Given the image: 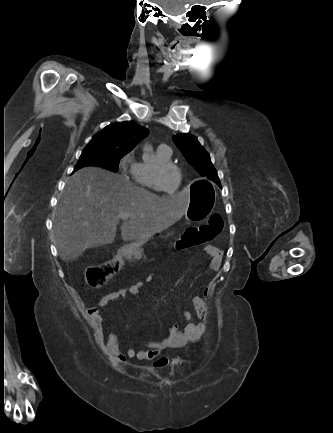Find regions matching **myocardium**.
<instances>
[{"instance_id":"myocardium-1","label":"myocardium","mask_w":333,"mask_h":433,"mask_svg":"<svg viewBox=\"0 0 333 433\" xmlns=\"http://www.w3.org/2000/svg\"><path fill=\"white\" fill-rule=\"evenodd\" d=\"M168 169H173V170H175V171L177 172L179 178H180V168H179L176 164H174V163H172V162H167V163H159V164H157V165L154 167V171H153V179H154V182H155L156 186H157V187H158L162 192H164L165 194H167V195H169V196H173V195H175V194L178 192V190H179V181H178V183H177V187H176V189H175L173 192H169V191H167V190L163 187V185H162V175H163V173H164L166 170H168ZM179 180H180V179H179Z\"/></svg>"}]
</instances>
